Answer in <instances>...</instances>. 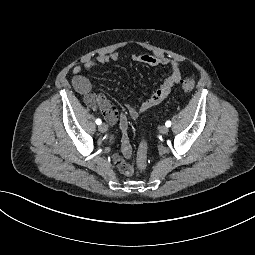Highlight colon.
Instances as JSON below:
<instances>
[{
  "label": "colon",
  "instance_id": "5ec220e1",
  "mask_svg": "<svg viewBox=\"0 0 255 255\" xmlns=\"http://www.w3.org/2000/svg\"><path fill=\"white\" fill-rule=\"evenodd\" d=\"M194 86L195 81L192 78L185 79L181 83V88L183 92L186 93L192 91ZM147 149H148L147 140L145 136H143L137 153V165L140 170H144L146 168Z\"/></svg>",
  "mask_w": 255,
  "mask_h": 255
}]
</instances>
